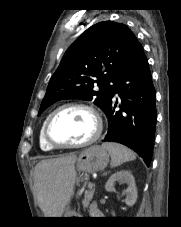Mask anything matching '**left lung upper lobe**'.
<instances>
[{
	"label": "left lung upper lobe",
	"mask_w": 181,
	"mask_h": 227,
	"mask_svg": "<svg viewBox=\"0 0 181 227\" xmlns=\"http://www.w3.org/2000/svg\"><path fill=\"white\" fill-rule=\"evenodd\" d=\"M139 45L124 24L105 21L91 26L65 52L50 79L38 115L54 102L68 98H95L94 103L105 112ZM96 83L99 90L94 87Z\"/></svg>",
	"instance_id": "left-lung-upper-lobe-1"
}]
</instances>
